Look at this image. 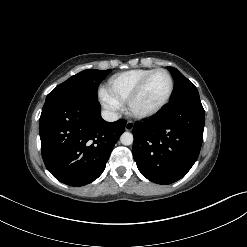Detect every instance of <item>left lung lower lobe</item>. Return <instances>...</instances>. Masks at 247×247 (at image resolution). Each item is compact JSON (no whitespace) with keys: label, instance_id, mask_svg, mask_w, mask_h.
<instances>
[{"label":"left lung lower lobe","instance_id":"obj_1","mask_svg":"<svg viewBox=\"0 0 247 247\" xmlns=\"http://www.w3.org/2000/svg\"><path fill=\"white\" fill-rule=\"evenodd\" d=\"M205 111L199 97L170 102L158 115L136 122L133 157L141 174L157 184L181 179L197 160Z\"/></svg>","mask_w":247,"mask_h":247}]
</instances>
